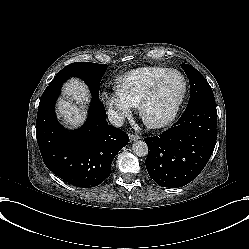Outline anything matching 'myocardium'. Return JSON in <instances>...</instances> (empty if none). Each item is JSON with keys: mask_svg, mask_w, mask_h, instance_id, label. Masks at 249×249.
<instances>
[{"mask_svg": "<svg viewBox=\"0 0 249 249\" xmlns=\"http://www.w3.org/2000/svg\"><path fill=\"white\" fill-rule=\"evenodd\" d=\"M173 75H177L180 78L181 85H182L181 93L175 103L174 108L172 109L171 113L165 119H162L159 121L148 119L145 116V112H144L145 107L155 98L158 91L168 82L170 77ZM185 93H186V82H185V78L182 75V73L177 70L169 71L155 84L151 92L141 101V103L138 106V117L147 127H150V128H161V127L168 125L169 123L173 121V119L177 115L182 105V102L184 100Z\"/></svg>", "mask_w": 249, "mask_h": 249, "instance_id": "myocardium-1", "label": "myocardium"}]
</instances>
